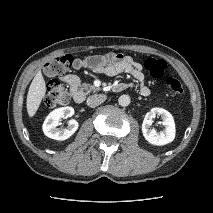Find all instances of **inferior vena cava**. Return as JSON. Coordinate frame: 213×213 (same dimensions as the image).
<instances>
[{
    "instance_id": "inferior-vena-cava-1",
    "label": "inferior vena cava",
    "mask_w": 213,
    "mask_h": 213,
    "mask_svg": "<svg viewBox=\"0 0 213 213\" xmlns=\"http://www.w3.org/2000/svg\"><path fill=\"white\" fill-rule=\"evenodd\" d=\"M107 99L104 94H94L87 99V104L89 107L94 108L102 104Z\"/></svg>"
}]
</instances>
